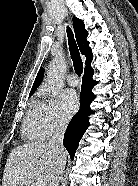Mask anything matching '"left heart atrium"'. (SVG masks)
<instances>
[{"mask_svg":"<svg viewBox=\"0 0 138 186\" xmlns=\"http://www.w3.org/2000/svg\"><path fill=\"white\" fill-rule=\"evenodd\" d=\"M78 97L75 91L66 90L61 96V112L64 117L70 118L78 109Z\"/></svg>","mask_w":138,"mask_h":186,"instance_id":"1","label":"left heart atrium"}]
</instances>
